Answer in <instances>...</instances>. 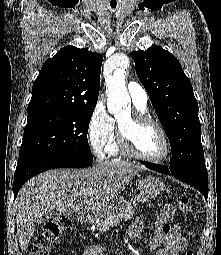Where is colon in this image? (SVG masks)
Returning <instances> with one entry per match:
<instances>
[{"instance_id": "5ec220e1", "label": "colon", "mask_w": 221, "mask_h": 255, "mask_svg": "<svg viewBox=\"0 0 221 255\" xmlns=\"http://www.w3.org/2000/svg\"><path fill=\"white\" fill-rule=\"evenodd\" d=\"M178 206L180 211L185 214L191 213L193 209L190 198L186 196L180 198ZM172 216V206H164L159 215L158 228L162 231L166 230ZM71 226L72 219L70 215L65 213L53 215L43 224L41 231L34 237L29 247L30 255H50L53 242L57 240L63 232L69 230ZM182 255H193V252L187 250L182 253Z\"/></svg>"}]
</instances>
